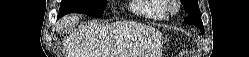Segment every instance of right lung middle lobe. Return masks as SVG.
Instances as JSON below:
<instances>
[{
	"label": "right lung middle lobe",
	"mask_w": 249,
	"mask_h": 57,
	"mask_svg": "<svg viewBox=\"0 0 249 57\" xmlns=\"http://www.w3.org/2000/svg\"><path fill=\"white\" fill-rule=\"evenodd\" d=\"M107 0H62L59 15L85 13L93 18L103 16Z\"/></svg>",
	"instance_id": "dd1d6c3e"
}]
</instances>
